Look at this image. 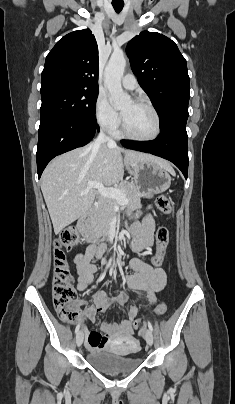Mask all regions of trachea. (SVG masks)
Segmentation results:
<instances>
[{
	"instance_id": "obj_1",
	"label": "trachea",
	"mask_w": 235,
	"mask_h": 404,
	"mask_svg": "<svg viewBox=\"0 0 235 404\" xmlns=\"http://www.w3.org/2000/svg\"><path fill=\"white\" fill-rule=\"evenodd\" d=\"M123 7H124V4H113V8L117 13L121 12Z\"/></svg>"
}]
</instances>
